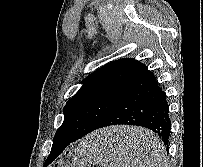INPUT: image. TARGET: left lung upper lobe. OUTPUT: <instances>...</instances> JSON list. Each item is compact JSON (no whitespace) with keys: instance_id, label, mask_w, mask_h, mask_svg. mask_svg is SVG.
Returning a JSON list of instances; mask_svg holds the SVG:
<instances>
[{"instance_id":"left-lung-upper-lobe-1","label":"left lung upper lobe","mask_w":203,"mask_h":167,"mask_svg":"<svg viewBox=\"0 0 203 167\" xmlns=\"http://www.w3.org/2000/svg\"><path fill=\"white\" fill-rule=\"evenodd\" d=\"M144 66L133 58H124L110 62L86 77L79 91L66 103L64 121L54 141L84 136L97 129Z\"/></svg>"}]
</instances>
